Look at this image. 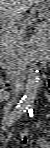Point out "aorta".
<instances>
[{
	"mask_svg": "<svg viewBox=\"0 0 50 148\" xmlns=\"http://www.w3.org/2000/svg\"><path fill=\"white\" fill-rule=\"evenodd\" d=\"M39 80V70L35 64H32L28 73L25 94L22 98L23 104L32 103L36 99Z\"/></svg>",
	"mask_w": 50,
	"mask_h": 148,
	"instance_id": "aorta-1",
	"label": "aorta"
}]
</instances>
